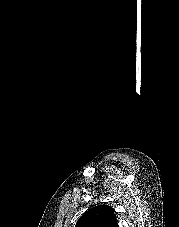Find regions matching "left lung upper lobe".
<instances>
[{
	"label": "left lung upper lobe",
	"instance_id": "left-lung-upper-lobe-1",
	"mask_svg": "<svg viewBox=\"0 0 179 227\" xmlns=\"http://www.w3.org/2000/svg\"><path fill=\"white\" fill-rule=\"evenodd\" d=\"M75 227H119L113 209L107 205L95 206L86 211Z\"/></svg>",
	"mask_w": 179,
	"mask_h": 227
}]
</instances>
